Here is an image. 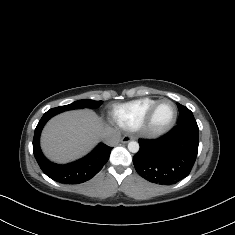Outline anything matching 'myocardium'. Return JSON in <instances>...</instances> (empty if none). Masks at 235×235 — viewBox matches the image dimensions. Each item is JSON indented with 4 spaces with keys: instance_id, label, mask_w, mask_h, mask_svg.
<instances>
[{
    "instance_id": "f54148a6",
    "label": "myocardium",
    "mask_w": 235,
    "mask_h": 235,
    "mask_svg": "<svg viewBox=\"0 0 235 235\" xmlns=\"http://www.w3.org/2000/svg\"><path fill=\"white\" fill-rule=\"evenodd\" d=\"M164 101H169L174 105L175 115L172 118V120L166 126H164L162 128H155L154 125H153L154 114H155V111H156L157 107L159 106V104L164 102ZM177 118H178V106H177L176 102L171 100V99H168V98L158 99L151 106V108H150L149 112L147 113L144 121L140 125V133L143 136L149 137V138L162 136V135L166 134L167 132H169L173 128V126L175 125V123L177 121Z\"/></svg>"
}]
</instances>
